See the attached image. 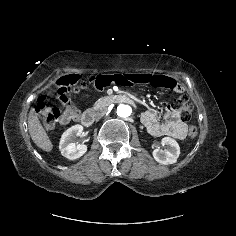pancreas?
<instances>
[{
	"label": "pancreas",
	"instance_id": "pancreas-1",
	"mask_svg": "<svg viewBox=\"0 0 236 236\" xmlns=\"http://www.w3.org/2000/svg\"><path fill=\"white\" fill-rule=\"evenodd\" d=\"M110 102H111V97H109V96L102 97L94 103L93 109L99 110V109L107 106Z\"/></svg>",
	"mask_w": 236,
	"mask_h": 236
}]
</instances>
